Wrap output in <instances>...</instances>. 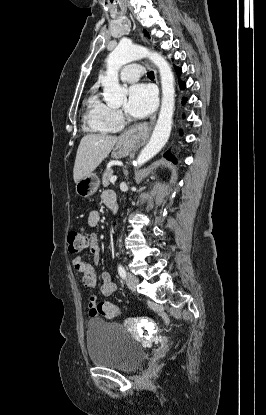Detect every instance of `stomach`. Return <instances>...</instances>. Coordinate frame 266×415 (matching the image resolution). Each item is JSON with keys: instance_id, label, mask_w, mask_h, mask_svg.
<instances>
[{"instance_id": "obj_1", "label": "stomach", "mask_w": 266, "mask_h": 415, "mask_svg": "<svg viewBox=\"0 0 266 415\" xmlns=\"http://www.w3.org/2000/svg\"><path fill=\"white\" fill-rule=\"evenodd\" d=\"M134 146H135L134 140L120 139L115 145V147L113 148L111 155L115 159H120L122 157L127 156ZM99 184H100V181L97 175L94 173H91L83 177L76 183L75 190L78 196L82 198H88L97 191Z\"/></svg>"}]
</instances>
